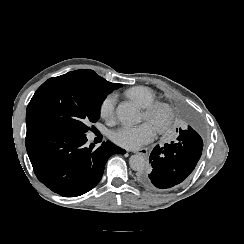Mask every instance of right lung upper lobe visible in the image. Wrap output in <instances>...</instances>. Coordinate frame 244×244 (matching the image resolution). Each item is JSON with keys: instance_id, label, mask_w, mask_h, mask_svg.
Wrapping results in <instances>:
<instances>
[{"instance_id": "cb5924a9", "label": "right lung upper lobe", "mask_w": 244, "mask_h": 244, "mask_svg": "<svg viewBox=\"0 0 244 244\" xmlns=\"http://www.w3.org/2000/svg\"><path fill=\"white\" fill-rule=\"evenodd\" d=\"M81 70H88V69H81ZM103 85L104 87L108 90V91H113L115 89H118L121 84H117V83H110L108 81H106L105 79H103Z\"/></svg>"}]
</instances>
